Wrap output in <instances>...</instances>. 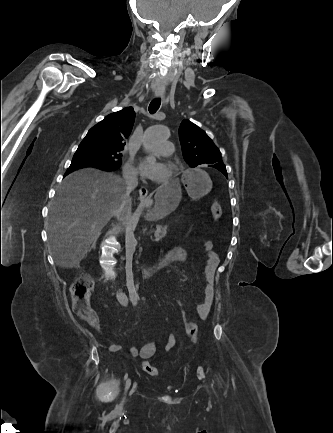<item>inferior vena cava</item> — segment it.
Instances as JSON below:
<instances>
[{
	"label": "inferior vena cava",
	"instance_id": "1",
	"mask_svg": "<svg viewBox=\"0 0 333 433\" xmlns=\"http://www.w3.org/2000/svg\"><path fill=\"white\" fill-rule=\"evenodd\" d=\"M123 180L126 184V195L128 196L138 185L137 175L134 172H124ZM116 216L119 217V214L117 213Z\"/></svg>",
	"mask_w": 333,
	"mask_h": 433
}]
</instances>
